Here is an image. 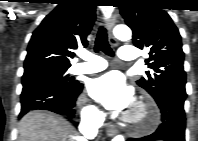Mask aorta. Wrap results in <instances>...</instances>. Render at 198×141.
Here are the masks:
<instances>
[{"mask_svg":"<svg viewBox=\"0 0 198 141\" xmlns=\"http://www.w3.org/2000/svg\"><path fill=\"white\" fill-rule=\"evenodd\" d=\"M114 36L119 40H130L132 33L129 27L126 25H117L113 30ZM112 141H125L123 135H117Z\"/></svg>","mask_w":198,"mask_h":141,"instance_id":"obj_1","label":"aorta"}]
</instances>
